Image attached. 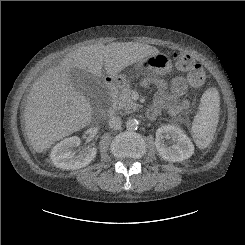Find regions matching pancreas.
I'll return each mask as SVG.
<instances>
[{
	"mask_svg": "<svg viewBox=\"0 0 245 245\" xmlns=\"http://www.w3.org/2000/svg\"><path fill=\"white\" fill-rule=\"evenodd\" d=\"M118 110L123 113H131L135 111L138 105L131 98V89L127 85L119 94L117 98Z\"/></svg>",
	"mask_w": 245,
	"mask_h": 245,
	"instance_id": "cf45deb5",
	"label": "pancreas"
}]
</instances>
